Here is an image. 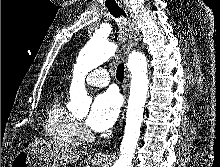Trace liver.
<instances>
[{"label":"liver","instance_id":"liver-1","mask_svg":"<svg viewBox=\"0 0 220 167\" xmlns=\"http://www.w3.org/2000/svg\"><path fill=\"white\" fill-rule=\"evenodd\" d=\"M25 150L33 151L39 160L43 163H58L61 166L76 163L82 155L81 150L71 147H63L58 145L52 140L36 138L31 147H28Z\"/></svg>","mask_w":220,"mask_h":167}]
</instances>
